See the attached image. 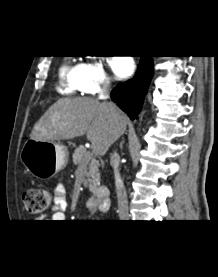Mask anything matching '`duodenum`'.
Returning <instances> with one entry per match:
<instances>
[{"label": "duodenum", "mask_w": 218, "mask_h": 277, "mask_svg": "<svg viewBox=\"0 0 218 277\" xmlns=\"http://www.w3.org/2000/svg\"><path fill=\"white\" fill-rule=\"evenodd\" d=\"M93 201L101 209L106 210L110 203V190L106 186L98 187L94 192Z\"/></svg>", "instance_id": "obj_1"}]
</instances>
